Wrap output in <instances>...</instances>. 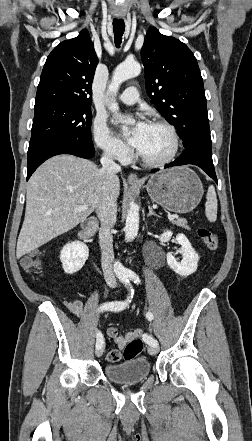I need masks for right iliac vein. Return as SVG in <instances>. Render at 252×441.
Returning a JSON list of instances; mask_svg holds the SVG:
<instances>
[{
    "instance_id": "right-iliac-vein-1",
    "label": "right iliac vein",
    "mask_w": 252,
    "mask_h": 441,
    "mask_svg": "<svg viewBox=\"0 0 252 441\" xmlns=\"http://www.w3.org/2000/svg\"><path fill=\"white\" fill-rule=\"evenodd\" d=\"M103 352H104V347L102 346L101 348L96 350L95 354L97 357H100L102 356Z\"/></svg>"
}]
</instances>
